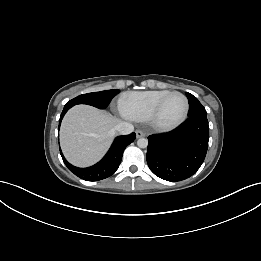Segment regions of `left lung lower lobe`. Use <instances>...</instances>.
Masks as SVG:
<instances>
[{
	"label": "left lung lower lobe",
	"mask_w": 261,
	"mask_h": 261,
	"mask_svg": "<svg viewBox=\"0 0 261 261\" xmlns=\"http://www.w3.org/2000/svg\"><path fill=\"white\" fill-rule=\"evenodd\" d=\"M150 170L167 181L191 177L202 165L208 148L209 125L204 114L188 117L176 129L148 137Z\"/></svg>",
	"instance_id": "obj_1"
}]
</instances>
